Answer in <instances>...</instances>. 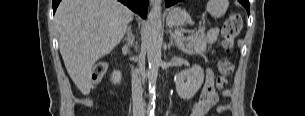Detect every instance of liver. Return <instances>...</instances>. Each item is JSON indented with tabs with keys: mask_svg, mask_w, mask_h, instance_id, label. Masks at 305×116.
I'll list each match as a JSON object with an SVG mask.
<instances>
[{
	"mask_svg": "<svg viewBox=\"0 0 305 116\" xmlns=\"http://www.w3.org/2000/svg\"><path fill=\"white\" fill-rule=\"evenodd\" d=\"M134 13L117 0H62L54 23L59 48L71 79L88 95L92 67L122 40Z\"/></svg>",
	"mask_w": 305,
	"mask_h": 116,
	"instance_id": "obj_1",
	"label": "liver"
}]
</instances>
